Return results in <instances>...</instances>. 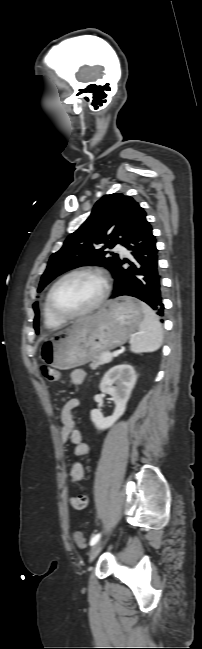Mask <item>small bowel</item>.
<instances>
[{
  "label": "small bowel",
  "instance_id": "c3829d8e",
  "mask_svg": "<svg viewBox=\"0 0 202 649\" xmlns=\"http://www.w3.org/2000/svg\"><path fill=\"white\" fill-rule=\"evenodd\" d=\"M85 379V372L81 369L73 370L69 375V383L71 386H79ZM79 402L76 399L67 401L60 414L61 428L59 431V439L64 446L70 442L74 446V455L77 457H85L89 453V446L82 441V435L79 430L75 428L74 412L78 407ZM61 458H65V449L62 448ZM70 481L73 484L81 482L84 477L83 465L76 461L73 462L69 470ZM71 506L75 509H84L87 505V497L85 494L80 493L69 500Z\"/></svg>",
  "mask_w": 202,
  "mask_h": 649
}]
</instances>
